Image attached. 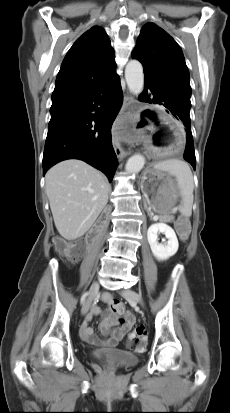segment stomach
Listing matches in <instances>:
<instances>
[{
	"mask_svg": "<svg viewBox=\"0 0 230 413\" xmlns=\"http://www.w3.org/2000/svg\"><path fill=\"white\" fill-rule=\"evenodd\" d=\"M141 190L151 210L161 218L167 216L176 205L179 188L174 180L163 171L149 169L144 172Z\"/></svg>",
	"mask_w": 230,
	"mask_h": 413,
	"instance_id": "stomach-1",
	"label": "stomach"
}]
</instances>
